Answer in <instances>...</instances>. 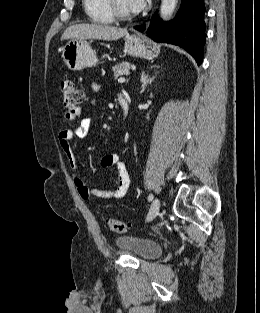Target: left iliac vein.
<instances>
[{
    "label": "left iliac vein",
    "mask_w": 260,
    "mask_h": 313,
    "mask_svg": "<svg viewBox=\"0 0 260 313\" xmlns=\"http://www.w3.org/2000/svg\"><path fill=\"white\" fill-rule=\"evenodd\" d=\"M160 210V200L158 198L154 199L150 205V209L147 215L146 220H153L159 213Z\"/></svg>",
    "instance_id": "4c4485c4"
}]
</instances>
